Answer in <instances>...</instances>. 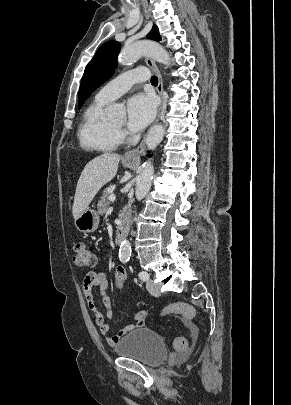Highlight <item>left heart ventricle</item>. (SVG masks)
I'll return each instance as SVG.
<instances>
[{
    "label": "left heart ventricle",
    "instance_id": "left-heart-ventricle-1",
    "mask_svg": "<svg viewBox=\"0 0 291 405\" xmlns=\"http://www.w3.org/2000/svg\"><path fill=\"white\" fill-rule=\"evenodd\" d=\"M123 123H124V120L122 119V120H120V121L114 123V126H116V127H121V126L123 125Z\"/></svg>",
    "mask_w": 291,
    "mask_h": 405
}]
</instances>
